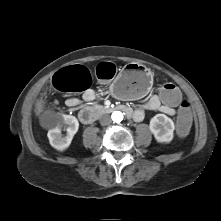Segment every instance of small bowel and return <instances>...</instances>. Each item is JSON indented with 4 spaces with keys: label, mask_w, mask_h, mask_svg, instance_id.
Masks as SVG:
<instances>
[{
    "label": "small bowel",
    "mask_w": 221,
    "mask_h": 221,
    "mask_svg": "<svg viewBox=\"0 0 221 221\" xmlns=\"http://www.w3.org/2000/svg\"><path fill=\"white\" fill-rule=\"evenodd\" d=\"M95 98L96 92L93 89L86 90L82 95V99L85 102H92ZM66 105L70 108H77L81 105V100L76 97H71L67 99ZM145 110H157L169 116H173L176 113L175 108L171 109L163 105L159 99V94L151 95L143 102L141 108L134 110L132 114L133 119L137 122H141L145 117Z\"/></svg>",
    "instance_id": "obj_1"
}]
</instances>
